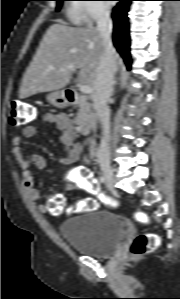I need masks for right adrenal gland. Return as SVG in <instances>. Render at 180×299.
<instances>
[{
    "instance_id": "1",
    "label": "right adrenal gland",
    "mask_w": 180,
    "mask_h": 299,
    "mask_svg": "<svg viewBox=\"0 0 180 299\" xmlns=\"http://www.w3.org/2000/svg\"><path fill=\"white\" fill-rule=\"evenodd\" d=\"M117 84V80L114 81L113 87H115Z\"/></svg>"
}]
</instances>
